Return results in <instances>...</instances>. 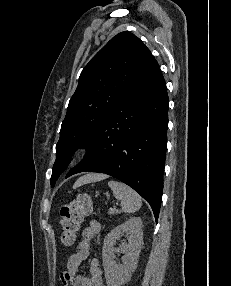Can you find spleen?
Segmentation results:
<instances>
[{"instance_id": "spleen-1", "label": "spleen", "mask_w": 231, "mask_h": 286, "mask_svg": "<svg viewBox=\"0 0 231 286\" xmlns=\"http://www.w3.org/2000/svg\"><path fill=\"white\" fill-rule=\"evenodd\" d=\"M108 186L113 191V195L121 203V209L125 213H134L139 210L142 205L140 195L126 184L111 180Z\"/></svg>"}]
</instances>
